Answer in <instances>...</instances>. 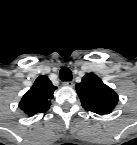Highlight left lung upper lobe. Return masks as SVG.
<instances>
[{"instance_id": "5c2ea615", "label": "left lung upper lobe", "mask_w": 137, "mask_h": 145, "mask_svg": "<svg viewBox=\"0 0 137 145\" xmlns=\"http://www.w3.org/2000/svg\"><path fill=\"white\" fill-rule=\"evenodd\" d=\"M76 90L82 106L99 115L109 114L118 102V95L94 73L86 74Z\"/></svg>"}]
</instances>
